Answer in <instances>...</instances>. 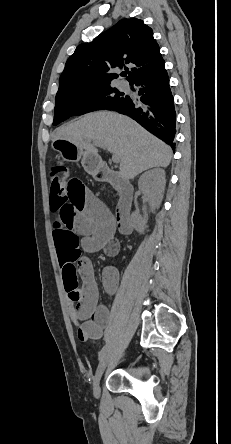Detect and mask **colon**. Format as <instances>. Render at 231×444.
<instances>
[{
	"label": "colon",
	"instance_id": "obj_1",
	"mask_svg": "<svg viewBox=\"0 0 231 444\" xmlns=\"http://www.w3.org/2000/svg\"><path fill=\"white\" fill-rule=\"evenodd\" d=\"M72 178L69 177L68 168L64 164H57L51 171V196L61 200L68 195V186Z\"/></svg>",
	"mask_w": 231,
	"mask_h": 444
}]
</instances>
